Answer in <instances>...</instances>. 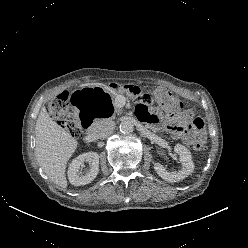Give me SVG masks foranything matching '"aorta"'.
Returning a JSON list of instances; mask_svg holds the SVG:
<instances>
[{
    "label": "aorta",
    "mask_w": 248,
    "mask_h": 248,
    "mask_svg": "<svg viewBox=\"0 0 248 248\" xmlns=\"http://www.w3.org/2000/svg\"><path fill=\"white\" fill-rule=\"evenodd\" d=\"M120 132L123 134H130L134 130V125L130 120H123L119 126Z\"/></svg>",
    "instance_id": "762f6f07"
}]
</instances>
